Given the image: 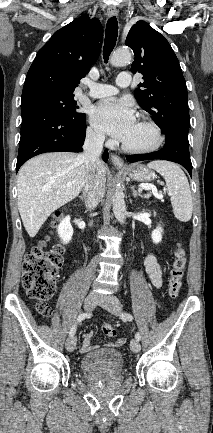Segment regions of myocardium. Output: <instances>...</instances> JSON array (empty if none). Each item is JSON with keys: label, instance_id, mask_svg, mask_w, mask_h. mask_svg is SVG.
Returning a JSON list of instances; mask_svg holds the SVG:
<instances>
[{"label": "myocardium", "instance_id": "f54148a6", "mask_svg": "<svg viewBox=\"0 0 213 433\" xmlns=\"http://www.w3.org/2000/svg\"><path fill=\"white\" fill-rule=\"evenodd\" d=\"M139 122H141L142 124L147 126L152 131V133L154 135L153 142L151 144L145 146V147H140V148L130 147V146H127L126 144L122 143V145H121L122 149L125 152L131 153V154H146V153H150V152L157 150L162 145V143L164 141V136H163L161 128L159 127V125L157 123H155L153 120H151L147 117H141L139 119Z\"/></svg>", "mask_w": 213, "mask_h": 433}]
</instances>
